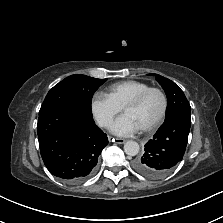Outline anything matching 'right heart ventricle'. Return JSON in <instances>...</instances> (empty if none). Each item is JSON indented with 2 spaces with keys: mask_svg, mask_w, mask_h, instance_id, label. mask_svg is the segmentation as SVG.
I'll use <instances>...</instances> for the list:
<instances>
[{
  "mask_svg": "<svg viewBox=\"0 0 223 223\" xmlns=\"http://www.w3.org/2000/svg\"><path fill=\"white\" fill-rule=\"evenodd\" d=\"M149 87L146 82L125 80L109 86L107 95L122 109L132 98Z\"/></svg>",
  "mask_w": 223,
  "mask_h": 223,
  "instance_id": "right-heart-ventricle-1",
  "label": "right heart ventricle"
}]
</instances>
